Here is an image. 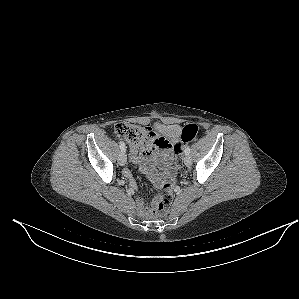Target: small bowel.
Returning a JSON list of instances; mask_svg holds the SVG:
<instances>
[{"label":"small bowel","instance_id":"obj_1","mask_svg":"<svg viewBox=\"0 0 299 299\" xmlns=\"http://www.w3.org/2000/svg\"><path fill=\"white\" fill-rule=\"evenodd\" d=\"M147 128L148 136L143 145H130V160L140 166V171L156 187H161L164 181L172 177L173 148L180 141L182 128L178 124L162 123ZM123 173L130 180L131 188L136 189L130 171L125 169ZM136 206L142 213H149L143 199H137Z\"/></svg>","mask_w":299,"mask_h":299}]
</instances>
